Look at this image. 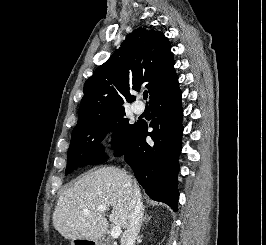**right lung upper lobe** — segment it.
<instances>
[{
  "label": "right lung upper lobe",
  "instance_id": "1",
  "mask_svg": "<svg viewBox=\"0 0 266 245\" xmlns=\"http://www.w3.org/2000/svg\"><path fill=\"white\" fill-rule=\"evenodd\" d=\"M168 39L160 31L139 27L84 85L79 119L124 110L135 96L129 90L145 85L150 100L178 80Z\"/></svg>",
  "mask_w": 266,
  "mask_h": 245
}]
</instances>
